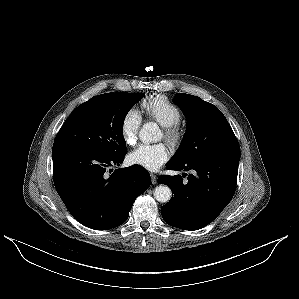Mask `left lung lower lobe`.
I'll use <instances>...</instances> for the list:
<instances>
[{"instance_id": "1", "label": "left lung lower lobe", "mask_w": 299, "mask_h": 299, "mask_svg": "<svg viewBox=\"0 0 299 299\" xmlns=\"http://www.w3.org/2000/svg\"><path fill=\"white\" fill-rule=\"evenodd\" d=\"M240 147L238 141L187 162H169V170H194L183 181L182 176H161L158 183L171 188L172 198L161 208L169 225L198 230L210 224L231 201L237 182Z\"/></svg>"}]
</instances>
